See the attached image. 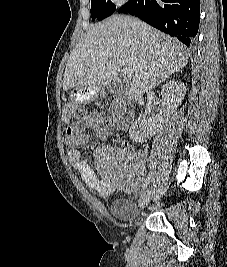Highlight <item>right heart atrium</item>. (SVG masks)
<instances>
[{
	"mask_svg": "<svg viewBox=\"0 0 227 267\" xmlns=\"http://www.w3.org/2000/svg\"><path fill=\"white\" fill-rule=\"evenodd\" d=\"M112 3L117 4V5H124L126 4L129 0H111Z\"/></svg>",
	"mask_w": 227,
	"mask_h": 267,
	"instance_id": "d8ad5b80",
	"label": "right heart atrium"
}]
</instances>
